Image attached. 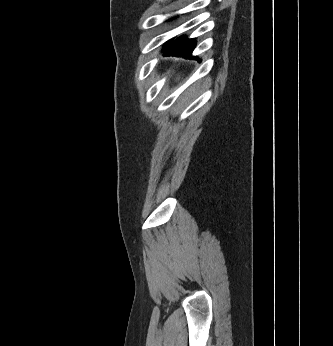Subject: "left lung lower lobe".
<instances>
[{
	"instance_id": "obj_1",
	"label": "left lung lower lobe",
	"mask_w": 333,
	"mask_h": 346,
	"mask_svg": "<svg viewBox=\"0 0 333 346\" xmlns=\"http://www.w3.org/2000/svg\"><path fill=\"white\" fill-rule=\"evenodd\" d=\"M196 46L194 39H188L185 36L178 37L173 42H168L164 47V54L168 56L191 57Z\"/></svg>"
}]
</instances>
